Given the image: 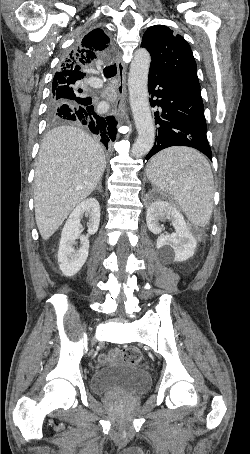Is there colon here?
<instances>
[{"mask_svg":"<svg viewBox=\"0 0 250 454\" xmlns=\"http://www.w3.org/2000/svg\"><path fill=\"white\" fill-rule=\"evenodd\" d=\"M122 359L130 365H139L142 362V354L136 348H125L121 352Z\"/></svg>","mask_w":250,"mask_h":454,"instance_id":"1","label":"colon"}]
</instances>
